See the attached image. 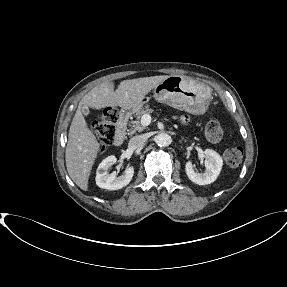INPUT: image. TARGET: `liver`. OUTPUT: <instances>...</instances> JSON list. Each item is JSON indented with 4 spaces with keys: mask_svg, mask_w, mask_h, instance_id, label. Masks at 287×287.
Listing matches in <instances>:
<instances>
[{
    "mask_svg": "<svg viewBox=\"0 0 287 287\" xmlns=\"http://www.w3.org/2000/svg\"><path fill=\"white\" fill-rule=\"evenodd\" d=\"M168 77L161 75L124 80L120 82L116 91L113 82H104L91 89L81 99L69 129L65 152L68 174L80 189L88 190L91 169L100 149L94 133L87 126L82 107L100 110L105 107L141 106L145 96Z\"/></svg>",
    "mask_w": 287,
    "mask_h": 287,
    "instance_id": "obj_1",
    "label": "liver"
}]
</instances>
